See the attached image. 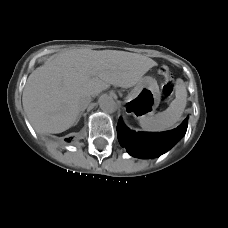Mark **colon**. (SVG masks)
I'll return each mask as SVG.
<instances>
[{
  "instance_id": "5ec220e1",
  "label": "colon",
  "mask_w": 228,
  "mask_h": 228,
  "mask_svg": "<svg viewBox=\"0 0 228 228\" xmlns=\"http://www.w3.org/2000/svg\"><path fill=\"white\" fill-rule=\"evenodd\" d=\"M160 73L164 78V95L167 98H170L174 93V82L171 71L168 66H162L160 68Z\"/></svg>"
}]
</instances>
